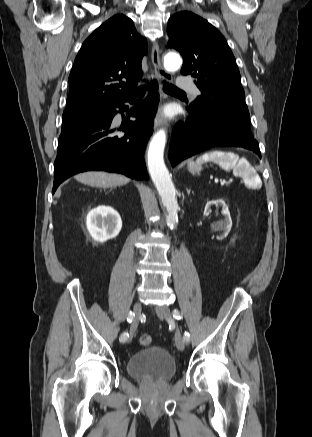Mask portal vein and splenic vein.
<instances>
[{
    "label": "portal vein and splenic vein",
    "instance_id": "portal-vein-and-splenic-vein-1",
    "mask_svg": "<svg viewBox=\"0 0 312 437\" xmlns=\"http://www.w3.org/2000/svg\"><path fill=\"white\" fill-rule=\"evenodd\" d=\"M220 183L223 185V184L226 183V181L225 180H221Z\"/></svg>",
    "mask_w": 312,
    "mask_h": 437
}]
</instances>
